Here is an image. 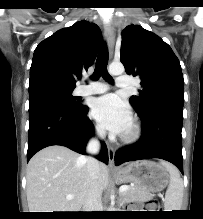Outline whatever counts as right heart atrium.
<instances>
[{"label": "right heart atrium", "instance_id": "d8ad5b80", "mask_svg": "<svg viewBox=\"0 0 203 219\" xmlns=\"http://www.w3.org/2000/svg\"><path fill=\"white\" fill-rule=\"evenodd\" d=\"M94 133L96 136H100L102 134V129L99 126L94 127Z\"/></svg>", "mask_w": 203, "mask_h": 219}]
</instances>
